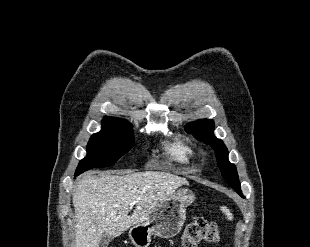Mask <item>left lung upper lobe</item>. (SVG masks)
Returning <instances> with one entry per match:
<instances>
[{"mask_svg":"<svg viewBox=\"0 0 310 247\" xmlns=\"http://www.w3.org/2000/svg\"><path fill=\"white\" fill-rule=\"evenodd\" d=\"M213 129L214 123L212 120L208 119L189 123L185 127V130L189 133H193L197 140L203 141L214 149L218 161V167L220 168L223 177L228 184L236 190L240 188L236 167L228 161V150L223 141L214 136Z\"/></svg>","mask_w":310,"mask_h":247,"instance_id":"left-lung-upper-lobe-1","label":"left lung upper lobe"}]
</instances>
